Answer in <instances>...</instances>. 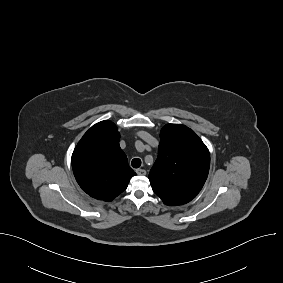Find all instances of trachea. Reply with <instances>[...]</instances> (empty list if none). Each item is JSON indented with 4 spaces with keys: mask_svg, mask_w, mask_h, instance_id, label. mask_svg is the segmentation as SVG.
Wrapping results in <instances>:
<instances>
[{
    "mask_svg": "<svg viewBox=\"0 0 283 283\" xmlns=\"http://www.w3.org/2000/svg\"><path fill=\"white\" fill-rule=\"evenodd\" d=\"M131 165L133 168H139L141 166V160L139 158H134L131 161Z\"/></svg>",
    "mask_w": 283,
    "mask_h": 283,
    "instance_id": "obj_1",
    "label": "trachea"
}]
</instances>
